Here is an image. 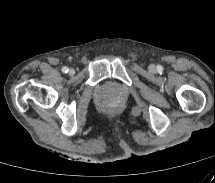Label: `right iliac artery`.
<instances>
[{
  "label": "right iliac artery",
  "mask_w": 215,
  "mask_h": 183,
  "mask_svg": "<svg viewBox=\"0 0 215 183\" xmlns=\"http://www.w3.org/2000/svg\"><path fill=\"white\" fill-rule=\"evenodd\" d=\"M62 71H63L64 73H67V72H68V68H67V67H63V68H62Z\"/></svg>",
  "instance_id": "obj_1"
}]
</instances>
